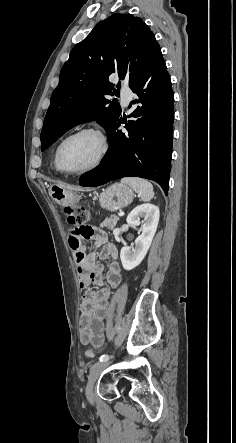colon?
I'll list each match as a JSON object with an SVG mask.
<instances>
[{
  "label": "colon",
  "instance_id": "1",
  "mask_svg": "<svg viewBox=\"0 0 236 443\" xmlns=\"http://www.w3.org/2000/svg\"><path fill=\"white\" fill-rule=\"evenodd\" d=\"M64 215L66 221L70 226L75 227V233L79 234L83 239H91L93 232L92 227L88 226L89 213L85 208L82 207H67L64 209ZM85 356L88 359H93L95 354L93 350L87 349L85 351Z\"/></svg>",
  "mask_w": 236,
  "mask_h": 443
}]
</instances>
